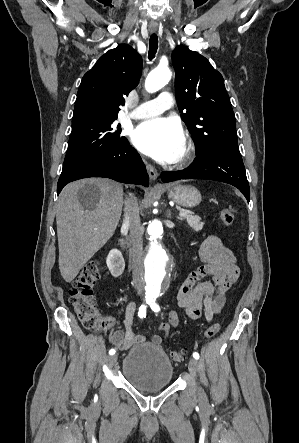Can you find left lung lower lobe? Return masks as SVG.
Masks as SVG:
<instances>
[{
	"instance_id": "1",
	"label": "left lung lower lobe",
	"mask_w": 299,
	"mask_h": 443,
	"mask_svg": "<svg viewBox=\"0 0 299 443\" xmlns=\"http://www.w3.org/2000/svg\"><path fill=\"white\" fill-rule=\"evenodd\" d=\"M163 182L179 179H211L237 187L250 200L249 184L240 153L227 149H211L197 155L194 162L186 169L163 172Z\"/></svg>"
}]
</instances>
